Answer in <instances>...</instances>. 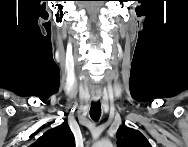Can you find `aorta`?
I'll return each instance as SVG.
<instances>
[{"instance_id":"aorta-1","label":"aorta","mask_w":188,"mask_h":147,"mask_svg":"<svg viewBox=\"0 0 188 147\" xmlns=\"http://www.w3.org/2000/svg\"><path fill=\"white\" fill-rule=\"evenodd\" d=\"M99 147H112V143L109 140H103L98 144Z\"/></svg>"}]
</instances>
